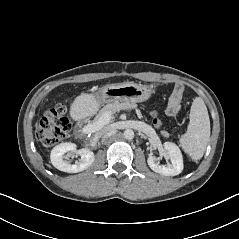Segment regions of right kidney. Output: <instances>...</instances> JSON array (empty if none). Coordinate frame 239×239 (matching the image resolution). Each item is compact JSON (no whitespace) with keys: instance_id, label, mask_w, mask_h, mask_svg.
Instances as JSON below:
<instances>
[{"instance_id":"obj_1","label":"right kidney","mask_w":239,"mask_h":239,"mask_svg":"<svg viewBox=\"0 0 239 239\" xmlns=\"http://www.w3.org/2000/svg\"><path fill=\"white\" fill-rule=\"evenodd\" d=\"M66 153H73L77 156H80V159L74 164H71L70 161L64 160V155ZM51 163L52 165L60 171L67 173H78L89 166L94 162V153L89 149L83 148L80 150L76 149V144L74 143H61L53 148L51 151Z\"/></svg>"}]
</instances>
